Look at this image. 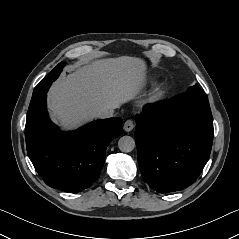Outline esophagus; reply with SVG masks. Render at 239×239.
Listing matches in <instances>:
<instances>
[{"mask_svg": "<svg viewBox=\"0 0 239 239\" xmlns=\"http://www.w3.org/2000/svg\"><path fill=\"white\" fill-rule=\"evenodd\" d=\"M133 128H134L133 120L128 119L127 121H125V123H124V125H123V129H124L126 132L132 131Z\"/></svg>", "mask_w": 239, "mask_h": 239, "instance_id": "1", "label": "esophagus"}]
</instances>
